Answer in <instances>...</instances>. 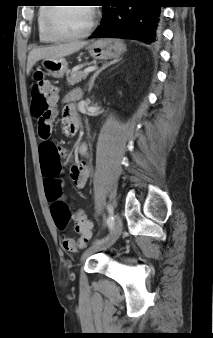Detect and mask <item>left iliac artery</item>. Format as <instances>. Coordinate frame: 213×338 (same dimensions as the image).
I'll list each match as a JSON object with an SVG mask.
<instances>
[{
    "label": "left iliac artery",
    "mask_w": 213,
    "mask_h": 338,
    "mask_svg": "<svg viewBox=\"0 0 213 338\" xmlns=\"http://www.w3.org/2000/svg\"><path fill=\"white\" fill-rule=\"evenodd\" d=\"M107 209H108V212H109V217L107 219V225H108L110 231H112V229L114 228V212H113V207L111 205H107ZM99 242H101V241L100 240L96 241V243H99Z\"/></svg>",
    "instance_id": "obj_1"
}]
</instances>
